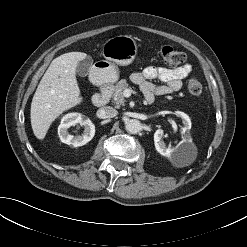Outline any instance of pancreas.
<instances>
[{
  "label": "pancreas",
  "instance_id": "cf45deb5",
  "mask_svg": "<svg viewBox=\"0 0 247 247\" xmlns=\"http://www.w3.org/2000/svg\"><path fill=\"white\" fill-rule=\"evenodd\" d=\"M129 88V84L125 79L120 80L113 88V103L117 106H124L125 98L123 92L125 89Z\"/></svg>",
  "mask_w": 247,
  "mask_h": 247
}]
</instances>
